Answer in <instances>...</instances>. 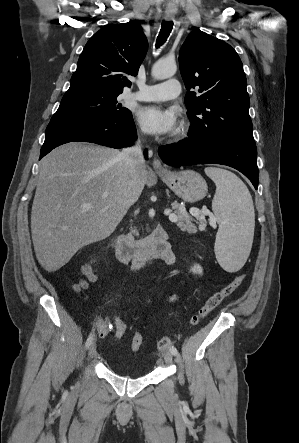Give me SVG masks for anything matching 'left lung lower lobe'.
I'll return each mask as SVG.
<instances>
[{"mask_svg":"<svg viewBox=\"0 0 299 443\" xmlns=\"http://www.w3.org/2000/svg\"><path fill=\"white\" fill-rule=\"evenodd\" d=\"M162 161L170 166L222 164L242 172L258 187L257 149L254 139L217 141L190 137L158 149Z\"/></svg>","mask_w":299,"mask_h":443,"instance_id":"obj_1","label":"left lung lower lobe"}]
</instances>
